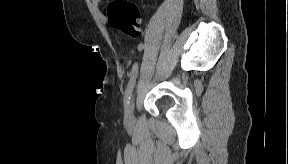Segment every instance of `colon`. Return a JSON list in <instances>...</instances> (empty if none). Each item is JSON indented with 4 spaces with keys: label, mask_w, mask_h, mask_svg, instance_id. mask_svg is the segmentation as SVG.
Wrapping results in <instances>:
<instances>
[{
    "label": "colon",
    "mask_w": 288,
    "mask_h": 164,
    "mask_svg": "<svg viewBox=\"0 0 288 164\" xmlns=\"http://www.w3.org/2000/svg\"><path fill=\"white\" fill-rule=\"evenodd\" d=\"M107 19L116 28L133 38L142 36L141 13L129 0H113L107 6Z\"/></svg>",
    "instance_id": "5ec220e1"
}]
</instances>
